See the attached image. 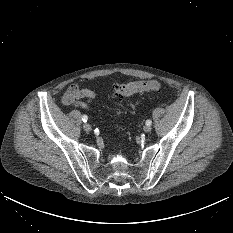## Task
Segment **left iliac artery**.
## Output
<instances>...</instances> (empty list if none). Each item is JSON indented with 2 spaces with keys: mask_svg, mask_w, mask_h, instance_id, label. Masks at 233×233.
<instances>
[{
  "mask_svg": "<svg viewBox=\"0 0 233 233\" xmlns=\"http://www.w3.org/2000/svg\"><path fill=\"white\" fill-rule=\"evenodd\" d=\"M152 124V121L151 120H147L146 121V125H151Z\"/></svg>",
  "mask_w": 233,
  "mask_h": 233,
  "instance_id": "obj_1",
  "label": "left iliac artery"
}]
</instances>
